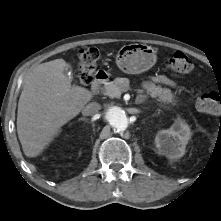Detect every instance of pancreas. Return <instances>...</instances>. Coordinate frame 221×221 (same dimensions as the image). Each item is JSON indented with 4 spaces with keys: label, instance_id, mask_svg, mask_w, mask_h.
I'll list each match as a JSON object with an SVG mask.
<instances>
[{
    "label": "pancreas",
    "instance_id": "1",
    "mask_svg": "<svg viewBox=\"0 0 221 221\" xmlns=\"http://www.w3.org/2000/svg\"><path fill=\"white\" fill-rule=\"evenodd\" d=\"M129 80L127 78H116L104 85L102 92L109 97H119L121 93L126 92L129 89ZM147 94L152 98H156L157 101L163 104L176 105L177 99L169 88H162L160 85H152Z\"/></svg>",
    "mask_w": 221,
    "mask_h": 221
}]
</instances>
